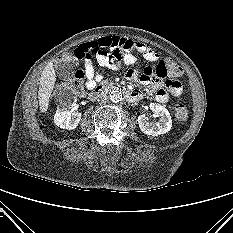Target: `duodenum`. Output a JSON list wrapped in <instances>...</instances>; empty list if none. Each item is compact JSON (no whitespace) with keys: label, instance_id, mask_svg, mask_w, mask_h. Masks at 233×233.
<instances>
[{"label":"duodenum","instance_id":"obj_1","mask_svg":"<svg viewBox=\"0 0 233 233\" xmlns=\"http://www.w3.org/2000/svg\"><path fill=\"white\" fill-rule=\"evenodd\" d=\"M110 91H119L129 100H133L135 98V94L133 91H130L129 89H127L126 87L120 84L95 86L94 88L91 89L89 93V97L91 99H95L98 96Z\"/></svg>","mask_w":233,"mask_h":233}]
</instances>
